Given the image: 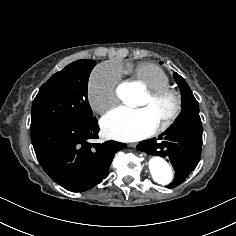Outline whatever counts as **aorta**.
Wrapping results in <instances>:
<instances>
[{
    "instance_id": "obj_1",
    "label": "aorta",
    "mask_w": 236,
    "mask_h": 236,
    "mask_svg": "<svg viewBox=\"0 0 236 236\" xmlns=\"http://www.w3.org/2000/svg\"><path fill=\"white\" fill-rule=\"evenodd\" d=\"M124 99L129 104H134L136 94L125 89ZM149 170L155 182L161 185L169 184L173 179V173L170 165L165 159L159 156H152L149 160Z\"/></svg>"
}]
</instances>
